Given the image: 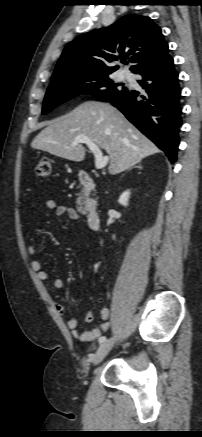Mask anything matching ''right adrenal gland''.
Wrapping results in <instances>:
<instances>
[{
	"label": "right adrenal gland",
	"mask_w": 202,
	"mask_h": 437,
	"mask_svg": "<svg viewBox=\"0 0 202 437\" xmlns=\"http://www.w3.org/2000/svg\"><path fill=\"white\" fill-rule=\"evenodd\" d=\"M135 168H138L139 170H141V169H142V166L139 164V165L135 166ZM129 170H130V169H129Z\"/></svg>",
	"instance_id": "obj_1"
}]
</instances>
